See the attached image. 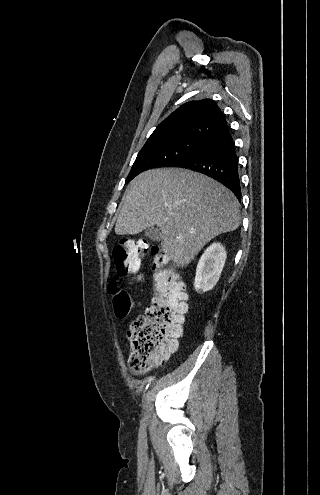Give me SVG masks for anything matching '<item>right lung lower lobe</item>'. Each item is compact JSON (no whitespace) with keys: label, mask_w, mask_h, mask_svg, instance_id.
<instances>
[{"label":"right lung lower lobe","mask_w":320,"mask_h":495,"mask_svg":"<svg viewBox=\"0 0 320 495\" xmlns=\"http://www.w3.org/2000/svg\"><path fill=\"white\" fill-rule=\"evenodd\" d=\"M175 167L212 177L228 187L238 200L241 199L238 157L229 127L210 136L196 153Z\"/></svg>","instance_id":"1"}]
</instances>
